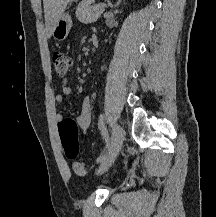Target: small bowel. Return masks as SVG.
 <instances>
[{
	"label": "small bowel",
	"instance_id": "small-bowel-1",
	"mask_svg": "<svg viewBox=\"0 0 216 217\" xmlns=\"http://www.w3.org/2000/svg\"><path fill=\"white\" fill-rule=\"evenodd\" d=\"M71 93L72 90L67 84V81H65L60 88V92L54 98L55 104H62L64 97L70 95ZM91 105V97H85L81 104V112L76 118L77 126L83 133H86L91 125ZM63 120L64 117L60 113L55 114V121L58 125H60Z\"/></svg>",
	"mask_w": 216,
	"mask_h": 217
}]
</instances>
